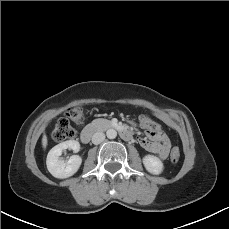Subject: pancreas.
<instances>
[{
    "label": "pancreas",
    "mask_w": 229,
    "mask_h": 229,
    "mask_svg": "<svg viewBox=\"0 0 229 229\" xmlns=\"http://www.w3.org/2000/svg\"><path fill=\"white\" fill-rule=\"evenodd\" d=\"M98 129H104L110 126L111 122L107 119L99 118L92 122Z\"/></svg>",
    "instance_id": "1"
}]
</instances>
